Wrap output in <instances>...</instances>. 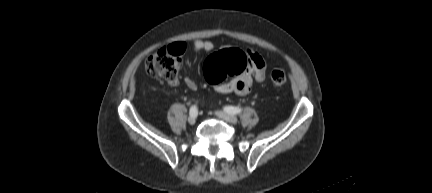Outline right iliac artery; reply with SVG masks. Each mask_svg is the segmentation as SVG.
I'll use <instances>...</instances> for the list:
<instances>
[{"instance_id":"right-iliac-artery-1","label":"right iliac artery","mask_w":432,"mask_h":193,"mask_svg":"<svg viewBox=\"0 0 432 193\" xmlns=\"http://www.w3.org/2000/svg\"><path fill=\"white\" fill-rule=\"evenodd\" d=\"M198 108L196 105H192L189 110L190 116H197Z\"/></svg>"}]
</instances>
